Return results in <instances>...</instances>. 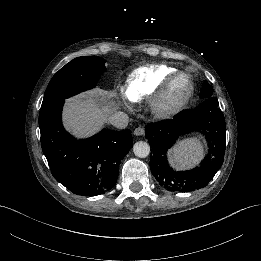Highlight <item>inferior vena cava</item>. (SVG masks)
Returning <instances> with one entry per match:
<instances>
[{
  "label": "inferior vena cava",
  "mask_w": 261,
  "mask_h": 261,
  "mask_svg": "<svg viewBox=\"0 0 261 261\" xmlns=\"http://www.w3.org/2000/svg\"><path fill=\"white\" fill-rule=\"evenodd\" d=\"M110 122L114 127L118 129H124L128 125L129 118L126 113L122 111H116L110 116Z\"/></svg>",
  "instance_id": "inferior-vena-cava-1"
}]
</instances>
